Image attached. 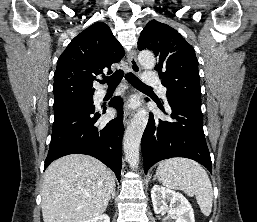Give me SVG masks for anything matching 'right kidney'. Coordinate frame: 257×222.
<instances>
[{
    "label": "right kidney",
    "mask_w": 257,
    "mask_h": 222,
    "mask_svg": "<svg viewBox=\"0 0 257 222\" xmlns=\"http://www.w3.org/2000/svg\"><path fill=\"white\" fill-rule=\"evenodd\" d=\"M85 222H110V218L107 214L99 215L97 217L86 220Z\"/></svg>",
    "instance_id": "ca27d5eb"
}]
</instances>
